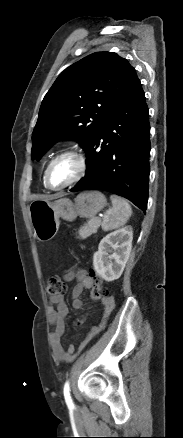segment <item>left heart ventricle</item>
Returning <instances> with one entry per match:
<instances>
[{
    "label": "left heart ventricle",
    "mask_w": 183,
    "mask_h": 438,
    "mask_svg": "<svg viewBox=\"0 0 183 438\" xmlns=\"http://www.w3.org/2000/svg\"><path fill=\"white\" fill-rule=\"evenodd\" d=\"M77 162L72 157H65L58 160L49 173V183L52 186H61L69 182L77 173Z\"/></svg>",
    "instance_id": "obj_1"
}]
</instances>
